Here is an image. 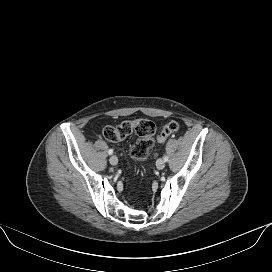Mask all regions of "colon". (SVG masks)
Listing matches in <instances>:
<instances>
[{
	"label": "colon",
	"mask_w": 272,
	"mask_h": 272,
	"mask_svg": "<svg viewBox=\"0 0 272 272\" xmlns=\"http://www.w3.org/2000/svg\"><path fill=\"white\" fill-rule=\"evenodd\" d=\"M179 127L177 121H169L162 128L157 140L164 142L170 135L178 131ZM132 133L138 136V140L131 148V155L137 160H144L155 142L156 126L152 121L148 119L127 120L116 126L108 125L103 129V136L109 142L123 141Z\"/></svg>",
	"instance_id": "colon-1"
}]
</instances>
